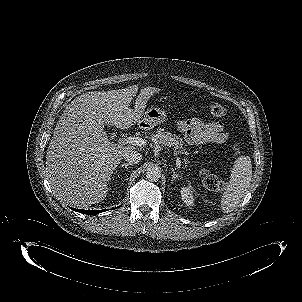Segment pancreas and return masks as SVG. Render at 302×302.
Returning a JSON list of instances; mask_svg holds the SVG:
<instances>
[{"label":"pancreas","mask_w":302,"mask_h":302,"mask_svg":"<svg viewBox=\"0 0 302 302\" xmlns=\"http://www.w3.org/2000/svg\"><path fill=\"white\" fill-rule=\"evenodd\" d=\"M151 139L161 145L173 146L178 153L188 155V152L184 147L183 139L175 134L165 131L163 128H158L156 133L152 134Z\"/></svg>","instance_id":"obj_1"}]
</instances>
